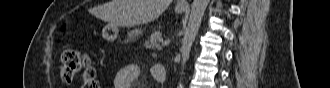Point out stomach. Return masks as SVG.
I'll return each instance as SVG.
<instances>
[{"instance_id": "obj_1", "label": "stomach", "mask_w": 330, "mask_h": 88, "mask_svg": "<svg viewBox=\"0 0 330 88\" xmlns=\"http://www.w3.org/2000/svg\"><path fill=\"white\" fill-rule=\"evenodd\" d=\"M176 12L177 13H182L185 11V8H181V7H176ZM142 33V30L141 29H135L133 31H131L129 34H128V39H127V42L128 41H131L133 39H135L136 37H138L140 34ZM117 34H118V28H117V25H111V24H108L106 25L104 28H103V37L109 41H112L114 39H116L117 37Z\"/></svg>"}]
</instances>
